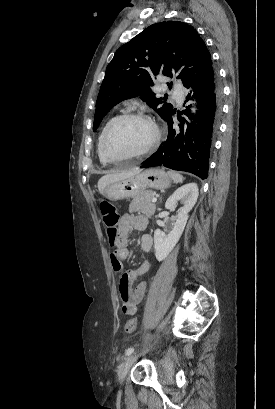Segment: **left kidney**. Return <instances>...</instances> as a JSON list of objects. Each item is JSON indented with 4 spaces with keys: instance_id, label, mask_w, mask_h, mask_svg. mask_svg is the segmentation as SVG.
Returning <instances> with one entry per match:
<instances>
[{
    "instance_id": "obj_1",
    "label": "left kidney",
    "mask_w": 275,
    "mask_h": 409,
    "mask_svg": "<svg viewBox=\"0 0 275 409\" xmlns=\"http://www.w3.org/2000/svg\"><path fill=\"white\" fill-rule=\"evenodd\" d=\"M198 198V186L196 182H188L184 186L177 188L165 202L166 209L169 211H175L178 202L180 200L181 205L177 213V221L168 237L162 233V231H155L154 233V249L155 257L157 261H164L174 249L176 243H178L187 223L188 213H190L192 207Z\"/></svg>"
}]
</instances>
